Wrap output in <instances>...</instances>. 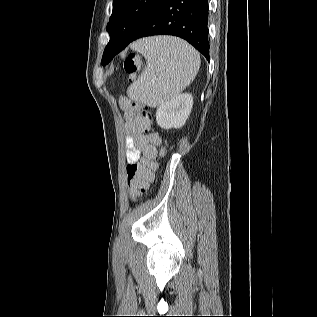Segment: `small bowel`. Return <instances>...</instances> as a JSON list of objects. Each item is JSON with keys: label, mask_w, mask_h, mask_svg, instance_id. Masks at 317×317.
<instances>
[{"label": "small bowel", "mask_w": 317, "mask_h": 317, "mask_svg": "<svg viewBox=\"0 0 317 317\" xmlns=\"http://www.w3.org/2000/svg\"><path fill=\"white\" fill-rule=\"evenodd\" d=\"M119 105L124 114L126 138V161L136 163L143 156L154 159L157 148L161 144V137L155 133H144L135 123L139 112L138 105L126 96L119 97Z\"/></svg>", "instance_id": "obj_1"}]
</instances>
